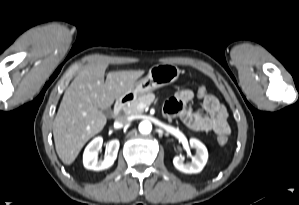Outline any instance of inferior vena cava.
I'll return each instance as SVG.
<instances>
[{"instance_id":"inferior-vena-cava-1","label":"inferior vena cava","mask_w":299,"mask_h":205,"mask_svg":"<svg viewBox=\"0 0 299 205\" xmlns=\"http://www.w3.org/2000/svg\"><path fill=\"white\" fill-rule=\"evenodd\" d=\"M129 122L128 118L125 116H120L116 119L115 125L120 128L126 125Z\"/></svg>"}]
</instances>
